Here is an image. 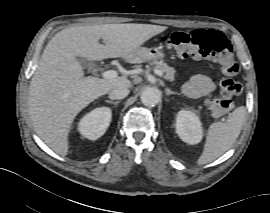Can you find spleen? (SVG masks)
<instances>
[{
    "label": "spleen",
    "instance_id": "3e777b00",
    "mask_svg": "<svg viewBox=\"0 0 270 213\" xmlns=\"http://www.w3.org/2000/svg\"><path fill=\"white\" fill-rule=\"evenodd\" d=\"M245 117L246 109L244 106H240L228 115L226 122L212 123L207 132L203 152L197 163L207 164L228 151L237 140Z\"/></svg>",
    "mask_w": 270,
    "mask_h": 213
}]
</instances>
